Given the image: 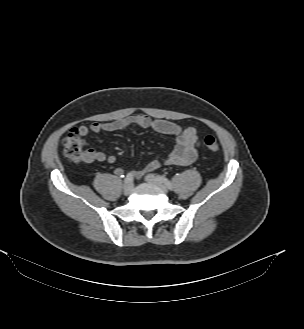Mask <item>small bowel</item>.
<instances>
[{"mask_svg": "<svg viewBox=\"0 0 304 329\" xmlns=\"http://www.w3.org/2000/svg\"><path fill=\"white\" fill-rule=\"evenodd\" d=\"M133 125L142 128H150L158 133L173 136L175 139L174 148L169 155L162 159L158 157L154 158L143 170L132 172L133 176L137 178L141 177L145 173L158 169L162 163L167 165H188L196 160L200 142L194 127L182 128L180 125L167 120L153 119L147 115L138 114L119 118L110 122H93L88 126L81 125L78 129L82 136H86L90 132L123 131ZM82 161L86 163L106 161L113 164L116 161V157L90 148L84 152ZM116 173L121 174L122 170L117 169Z\"/></svg>", "mask_w": 304, "mask_h": 329, "instance_id": "1", "label": "small bowel"}]
</instances>
